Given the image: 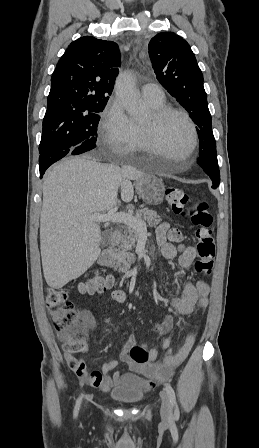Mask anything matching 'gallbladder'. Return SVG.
<instances>
[{
  "mask_svg": "<svg viewBox=\"0 0 259 448\" xmlns=\"http://www.w3.org/2000/svg\"><path fill=\"white\" fill-rule=\"evenodd\" d=\"M139 168H141V170H146V164H140ZM112 232L111 230H104V232H102L101 234V246H103V248H106V246H110V244H112Z\"/></svg>",
  "mask_w": 259,
  "mask_h": 448,
  "instance_id": "1",
  "label": "gallbladder"
}]
</instances>
